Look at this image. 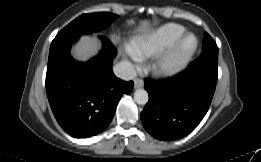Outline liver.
<instances>
[{
	"mask_svg": "<svg viewBox=\"0 0 261 162\" xmlns=\"http://www.w3.org/2000/svg\"><path fill=\"white\" fill-rule=\"evenodd\" d=\"M150 27L149 21H142L137 29L138 32L145 33ZM113 42L115 38L110 37ZM100 49V43L95 38L89 36H82L80 41L72 48V56L77 61H87L92 56L96 55Z\"/></svg>",
	"mask_w": 261,
	"mask_h": 162,
	"instance_id": "1",
	"label": "liver"
}]
</instances>
